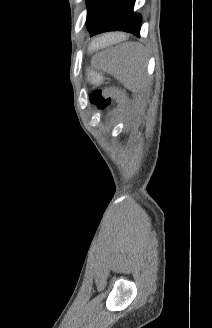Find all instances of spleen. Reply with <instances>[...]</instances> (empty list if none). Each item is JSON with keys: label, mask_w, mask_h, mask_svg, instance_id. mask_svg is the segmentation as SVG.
Masks as SVG:
<instances>
[{"label": "spleen", "mask_w": 212, "mask_h": 328, "mask_svg": "<svg viewBox=\"0 0 212 328\" xmlns=\"http://www.w3.org/2000/svg\"><path fill=\"white\" fill-rule=\"evenodd\" d=\"M116 41L112 39V34H107L94 39L90 44V51L107 47ZM128 49V53L124 58V65L118 72V78L125 87L133 92L141 90L145 86V65L141 63L139 56L141 49L137 44H124Z\"/></svg>", "instance_id": "obj_1"}]
</instances>
